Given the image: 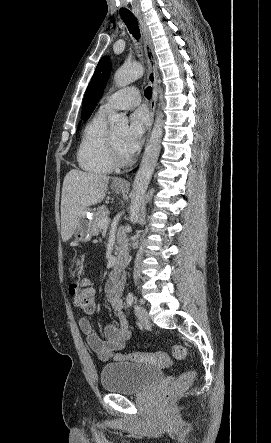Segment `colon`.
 <instances>
[{"instance_id":"1","label":"colon","mask_w":271,"mask_h":443,"mask_svg":"<svg viewBox=\"0 0 271 443\" xmlns=\"http://www.w3.org/2000/svg\"><path fill=\"white\" fill-rule=\"evenodd\" d=\"M76 266H80V260H72ZM69 293L72 296L75 306L86 312H93L95 309V289L90 282L82 280L74 282L69 287ZM172 354L176 359L182 360L191 356L188 348L181 344H176L172 348ZM112 358L115 361H128L135 363L150 364L158 367H168L171 359L163 351L155 353H114ZM196 377L194 370L185 371L169 386L165 392V400L173 401L176 397L185 392Z\"/></svg>"}]
</instances>
